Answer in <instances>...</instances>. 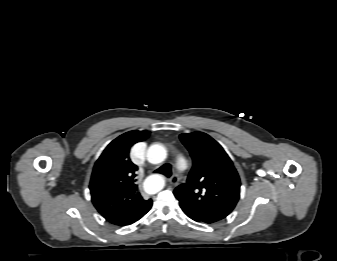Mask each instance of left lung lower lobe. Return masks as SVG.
Returning <instances> with one entry per match:
<instances>
[{
    "label": "left lung lower lobe",
    "mask_w": 337,
    "mask_h": 261,
    "mask_svg": "<svg viewBox=\"0 0 337 261\" xmlns=\"http://www.w3.org/2000/svg\"><path fill=\"white\" fill-rule=\"evenodd\" d=\"M186 215H187L188 217H190L191 219L197 221V222H202V221L196 219L195 217H193V216H191V215H189V214H186ZM202 223H205V222H202ZM208 224H209V223H208Z\"/></svg>",
    "instance_id": "0a47b994"
}]
</instances>
